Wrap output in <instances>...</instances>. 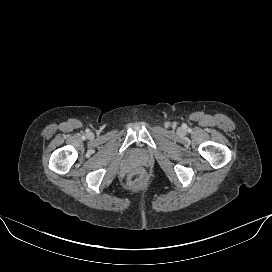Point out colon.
Returning a JSON list of instances; mask_svg holds the SVG:
<instances>
[{"instance_id": "obj_1", "label": "colon", "mask_w": 272, "mask_h": 272, "mask_svg": "<svg viewBox=\"0 0 272 272\" xmlns=\"http://www.w3.org/2000/svg\"><path fill=\"white\" fill-rule=\"evenodd\" d=\"M146 181V173L142 169L133 171L128 177V184L133 188L140 187Z\"/></svg>"}]
</instances>
